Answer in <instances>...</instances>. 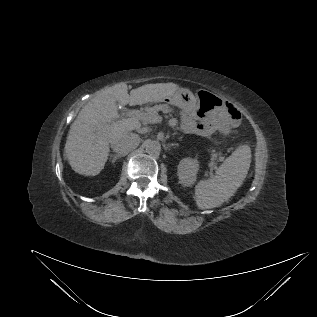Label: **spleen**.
<instances>
[{"instance_id": "3e777b00", "label": "spleen", "mask_w": 317, "mask_h": 317, "mask_svg": "<svg viewBox=\"0 0 317 317\" xmlns=\"http://www.w3.org/2000/svg\"><path fill=\"white\" fill-rule=\"evenodd\" d=\"M251 163V149L239 146L208 180L195 186V201L200 209L217 207L227 201L241 186Z\"/></svg>"}]
</instances>
